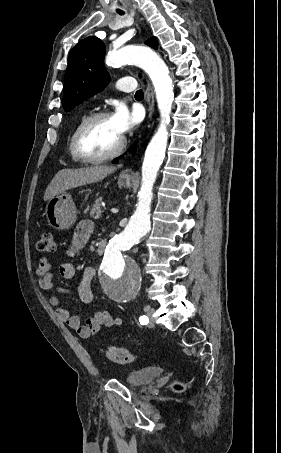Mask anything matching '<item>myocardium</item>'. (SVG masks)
<instances>
[{
    "label": "myocardium",
    "mask_w": 281,
    "mask_h": 453,
    "mask_svg": "<svg viewBox=\"0 0 281 453\" xmlns=\"http://www.w3.org/2000/svg\"><path fill=\"white\" fill-rule=\"evenodd\" d=\"M110 116L106 112H99L95 113L88 118H86L77 128L76 134H75V152L76 155L79 159H81L84 162H89V163H99V162H104L107 160H111L115 157H117L123 150L125 143H126V138L123 136L120 140V142L117 144V146L110 151L109 153L99 155V156H89L87 155L84 150H83V141L85 138V135L89 128L99 122V121H104L109 119Z\"/></svg>",
    "instance_id": "f54148a6"
}]
</instances>
